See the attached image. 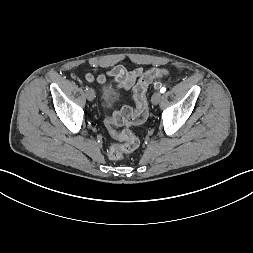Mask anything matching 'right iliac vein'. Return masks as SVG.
<instances>
[{
    "label": "right iliac vein",
    "instance_id": "obj_1",
    "mask_svg": "<svg viewBox=\"0 0 253 253\" xmlns=\"http://www.w3.org/2000/svg\"><path fill=\"white\" fill-rule=\"evenodd\" d=\"M86 97L89 101H92L95 98V93L93 89H88L86 91Z\"/></svg>",
    "mask_w": 253,
    "mask_h": 253
}]
</instances>
